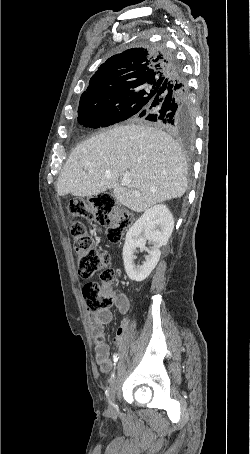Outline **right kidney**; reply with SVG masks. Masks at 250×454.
Segmentation results:
<instances>
[{
	"label": "right kidney",
	"mask_w": 250,
	"mask_h": 454,
	"mask_svg": "<svg viewBox=\"0 0 250 454\" xmlns=\"http://www.w3.org/2000/svg\"><path fill=\"white\" fill-rule=\"evenodd\" d=\"M173 228L171 212L165 205L159 204L147 209L129 229L123 247V261L132 281L141 282L150 275L160 259V248L167 244ZM147 240L153 245L150 249L145 247ZM137 248L149 253L141 266L134 264Z\"/></svg>",
	"instance_id": "obj_1"
}]
</instances>
